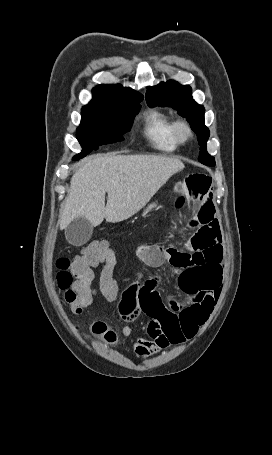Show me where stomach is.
Masks as SVG:
<instances>
[{"label": "stomach", "instance_id": "0dacf381", "mask_svg": "<svg viewBox=\"0 0 272 455\" xmlns=\"http://www.w3.org/2000/svg\"><path fill=\"white\" fill-rule=\"evenodd\" d=\"M157 207V202H152L143 211L142 215L146 216Z\"/></svg>", "mask_w": 272, "mask_h": 455}]
</instances>
